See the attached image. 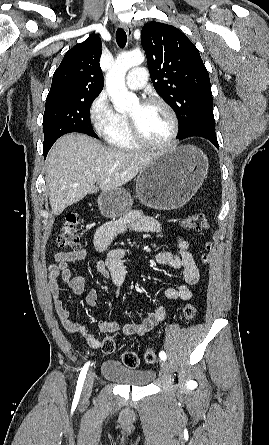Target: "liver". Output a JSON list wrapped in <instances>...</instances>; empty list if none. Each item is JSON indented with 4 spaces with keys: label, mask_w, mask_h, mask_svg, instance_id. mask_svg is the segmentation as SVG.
<instances>
[{
    "label": "liver",
    "mask_w": 269,
    "mask_h": 445,
    "mask_svg": "<svg viewBox=\"0 0 269 445\" xmlns=\"http://www.w3.org/2000/svg\"><path fill=\"white\" fill-rule=\"evenodd\" d=\"M158 154L106 147L78 133L61 137L47 157L46 182L52 213L61 214L99 188L105 192L128 183Z\"/></svg>",
    "instance_id": "liver-1"
}]
</instances>
